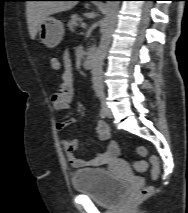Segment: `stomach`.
<instances>
[{
	"instance_id": "obj_1",
	"label": "stomach",
	"mask_w": 188,
	"mask_h": 213,
	"mask_svg": "<svg viewBox=\"0 0 188 213\" xmlns=\"http://www.w3.org/2000/svg\"><path fill=\"white\" fill-rule=\"evenodd\" d=\"M40 41L49 48L56 47L63 39L64 25L53 17H47L38 28Z\"/></svg>"
}]
</instances>
